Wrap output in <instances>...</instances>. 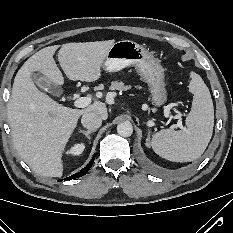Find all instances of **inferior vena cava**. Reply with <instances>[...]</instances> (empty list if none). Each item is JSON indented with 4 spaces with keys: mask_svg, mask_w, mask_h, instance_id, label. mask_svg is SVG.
<instances>
[{
    "mask_svg": "<svg viewBox=\"0 0 233 233\" xmlns=\"http://www.w3.org/2000/svg\"><path fill=\"white\" fill-rule=\"evenodd\" d=\"M82 125L89 130H96L102 124V119L96 113H86L81 118Z\"/></svg>",
    "mask_w": 233,
    "mask_h": 233,
    "instance_id": "inferior-vena-cava-1",
    "label": "inferior vena cava"
}]
</instances>
